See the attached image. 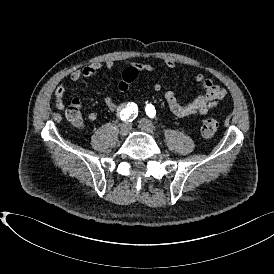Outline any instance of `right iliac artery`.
Wrapping results in <instances>:
<instances>
[{"instance_id":"obj_1","label":"right iliac artery","mask_w":274,"mask_h":274,"mask_svg":"<svg viewBox=\"0 0 274 274\" xmlns=\"http://www.w3.org/2000/svg\"><path fill=\"white\" fill-rule=\"evenodd\" d=\"M137 117V106L136 104H128V107L124 108L120 112V118L123 121H133Z\"/></svg>"}]
</instances>
